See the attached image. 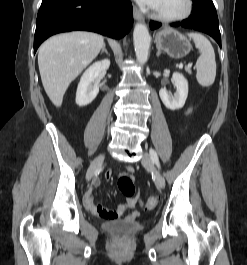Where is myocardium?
Here are the masks:
<instances>
[{"mask_svg": "<svg viewBox=\"0 0 247 265\" xmlns=\"http://www.w3.org/2000/svg\"><path fill=\"white\" fill-rule=\"evenodd\" d=\"M193 10H194V0H184V7L177 14L167 15V14L160 13L154 9L152 11V15L156 20L162 23L170 24V23H178V22L186 20L192 14Z\"/></svg>", "mask_w": 247, "mask_h": 265, "instance_id": "f54148a6", "label": "myocardium"}]
</instances>
